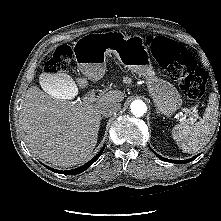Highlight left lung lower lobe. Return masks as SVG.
<instances>
[{
  "label": "left lung lower lobe",
  "mask_w": 221,
  "mask_h": 221,
  "mask_svg": "<svg viewBox=\"0 0 221 221\" xmlns=\"http://www.w3.org/2000/svg\"><path fill=\"white\" fill-rule=\"evenodd\" d=\"M149 148H150V147H149ZM150 150L153 151L151 148H150ZM153 152H154V151H153ZM154 153H155V152H154ZM155 154L157 155L158 158H160V159L163 160V161H167V162H171V163H180V164L188 163V162L194 160L196 157H198V156L200 155V154H199V155H196V156H194L193 158L187 159V160H170V159H166V158L161 157V156L158 155L157 153H155Z\"/></svg>",
  "instance_id": "0a47b994"
}]
</instances>
